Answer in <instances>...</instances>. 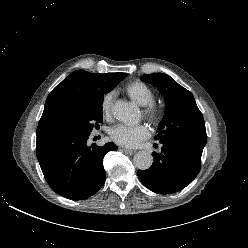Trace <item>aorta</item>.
I'll return each instance as SVG.
<instances>
[{"label":"aorta","mask_w":248,"mask_h":248,"mask_svg":"<svg viewBox=\"0 0 248 248\" xmlns=\"http://www.w3.org/2000/svg\"><path fill=\"white\" fill-rule=\"evenodd\" d=\"M114 117L125 123H133L138 115V108L125 101H117L112 109ZM153 163V157L146 151H139L134 156V165L140 170H147Z\"/></svg>","instance_id":"762f6f07"}]
</instances>
